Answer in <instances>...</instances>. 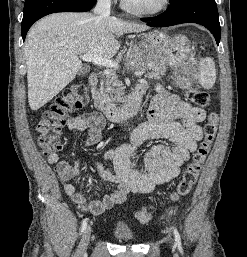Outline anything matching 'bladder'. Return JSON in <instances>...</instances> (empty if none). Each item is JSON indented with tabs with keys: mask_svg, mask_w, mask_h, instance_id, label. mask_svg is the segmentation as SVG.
Returning a JSON list of instances; mask_svg holds the SVG:
<instances>
[{
	"mask_svg": "<svg viewBox=\"0 0 247 257\" xmlns=\"http://www.w3.org/2000/svg\"><path fill=\"white\" fill-rule=\"evenodd\" d=\"M113 236L119 241H130L134 239V235L125 227L119 226L113 230Z\"/></svg>",
	"mask_w": 247,
	"mask_h": 257,
	"instance_id": "1",
	"label": "bladder"
}]
</instances>
